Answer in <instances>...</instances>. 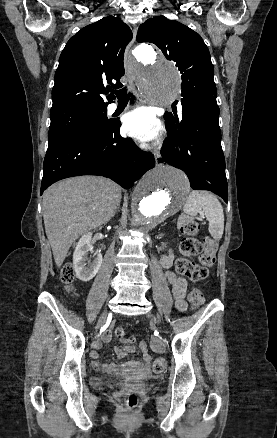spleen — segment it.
Returning a JSON list of instances; mask_svg holds the SVG:
<instances>
[{
	"mask_svg": "<svg viewBox=\"0 0 277 438\" xmlns=\"http://www.w3.org/2000/svg\"><path fill=\"white\" fill-rule=\"evenodd\" d=\"M205 212L209 222V232L214 240H221L224 232L223 208L216 196L205 190L190 192L183 212L188 216H197L198 212Z\"/></svg>",
	"mask_w": 277,
	"mask_h": 438,
	"instance_id": "3e777b00",
	"label": "spleen"
}]
</instances>
